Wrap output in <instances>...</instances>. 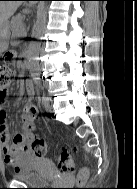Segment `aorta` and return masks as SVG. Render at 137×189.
Segmentation results:
<instances>
[{"mask_svg":"<svg viewBox=\"0 0 137 189\" xmlns=\"http://www.w3.org/2000/svg\"><path fill=\"white\" fill-rule=\"evenodd\" d=\"M48 2L42 1L38 6L37 21L34 27V35H30V48L28 51L29 57L34 60L31 62V75L34 76L35 82H41V73L38 71L39 64L36 61L39 56V38L43 36L47 23Z\"/></svg>","mask_w":137,"mask_h":189,"instance_id":"1","label":"aorta"}]
</instances>
